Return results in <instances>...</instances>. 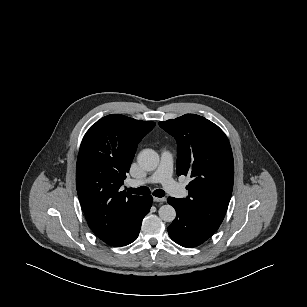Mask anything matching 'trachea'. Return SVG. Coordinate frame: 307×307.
I'll use <instances>...</instances> for the list:
<instances>
[{
  "label": "trachea",
  "mask_w": 307,
  "mask_h": 307,
  "mask_svg": "<svg viewBox=\"0 0 307 307\" xmlns=\"http://www.w3.org/2000/svg\"><path fill=\"white\" fill-rule=\"evenodd\" d=\"M126 190L132 194H139V195H147L151 193L150 189L145 186L139 188H126ZM153 195L161 198L165 195V192L162 189H157L153 192Z\"/></svg>",
  "instance_id": "trachea-1"
}]
</instances>
